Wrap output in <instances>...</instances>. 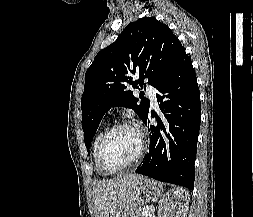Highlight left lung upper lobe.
Listing matches in <instances>:
<instances>
[{
	"instance_id": "5c2ea615",
	"label": "left lung upper lobe",
	"mask_w": 253,
	"mask_h": 217,
	"mask_svg": "<svg viewBox=\"0 0 253 217\" xmlns=\"http://www.w3.org/2000/svg\"><path fill=\"white\" fill-rule=\"evenodd\" d=\"M185 49L169 27L153 17L128 24L117 40L100 51L85 75L81 98L82 128L90 147L99 123L111 107L133 109L144 120L150 102L133 96L131 87L155 88L170 73ZM134 76H139L134 80Z\"/></svg>"
}]
</instances>
